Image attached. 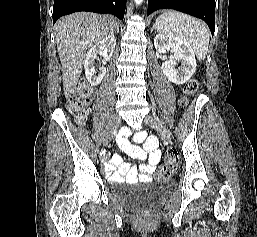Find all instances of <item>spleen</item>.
<instances>
[{"instance_id": "spleen-1", "label": "spleen", "mask_w": 257, "mask_h": 237, "mask_svg": "<svg viewBox=\"0 0 257 237\" xmlns=\"http://www.w3.org/2000/svg\"><path fill=\"white\" fill-rule=\"evenodd\" d=\"M155 28L161 34L187 42L200 61L205 59L210 38L208 29L201 21L169 11L156 19Z\"/></svg>"}]
</instances>
